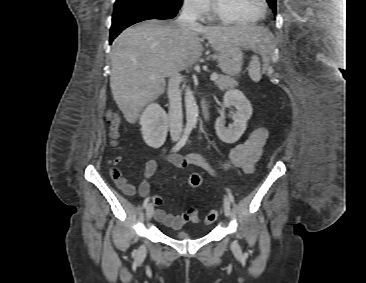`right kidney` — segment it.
I'll return each mask as SVG.
<instances>
[{
	"label": "right kidney",
	"instance_id": "right-kidney-1",
	"mask_svg": "<svg viewBox=\"0 0 366 283\" xmlns=\"http://www.w3.org/2000/svg\"><path fill=\"white\" fill-rule=\"evenodd\" d=\"M144 142L154 149L161 147L167 136L168 116L157 103L149 104L140 116Z\"/></svg>",
	"mask_w": 366,
	"mask_h": 283
}]
</instances>
